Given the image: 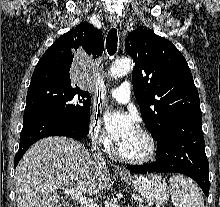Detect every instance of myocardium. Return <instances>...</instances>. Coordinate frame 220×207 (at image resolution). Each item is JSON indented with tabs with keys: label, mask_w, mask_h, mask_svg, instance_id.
Returning a JSON list of instances; mask_svg holds the SVG:
<instances>
[{
	"label": "myocardium",
	"mask_w": 220,
	"mask_h": 207,
	"mask_svg": "<svg viewBox=\"0 0 220 207\" xmlns=\"http://www.w3.org/2000/svg\"><path fill=\"white\" fill-rule=\"evenodd\" d=\"M137 130L146 138L149 144V151L148 153L141 158H130L123 155L119 149L118 144L115 147V155L123 162L134 164V165H142L150 162L154 159L157 152V143L153 136V134L145 127H138Z\"/></svg>",
	"instance_id": "myocardium-1"
}]
</instances>
